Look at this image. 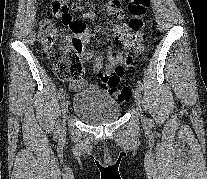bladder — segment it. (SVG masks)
<instances>
[{"label": "bladder", "instance_id": "1", "mask_svg": "<svg viewBox=\"0 0 207 179\" xmlns=\"http://www.w3.org/2000/svg\"><path fill=\"white\" fill-rule=\"evenodd\" d=\"M73 112L87 124L102 125L117 120L122 108L106 89L90 84L75 94Z\"/></svg>", "mask_w": 207, "mask_h": 179}]
</instances>
